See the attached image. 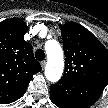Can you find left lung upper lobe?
<instances>
[{"mask_svg":"<svg viewBox=\"0 0 108 108\" xmlns=\"http://www.w3.org/2000/svg\"><path fill=\"white\" fill-rule=\"evenodd\" d=\"M59 28L66 57L62 79L105 87L108 83L107 49L76 22H67Z\"/></svg>","mask_w":108,"mask_h":108,"instance_id":"5c2ea615","label":"left lung upper lobe"}]
</instances>
